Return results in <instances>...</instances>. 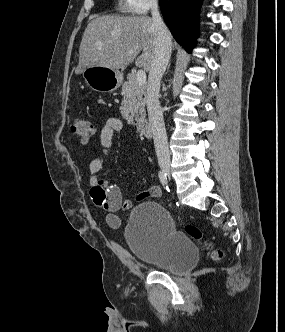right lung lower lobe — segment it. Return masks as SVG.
<instances>
[{"mask_svg": "<svg viewBox=\"0 0 285 332\" xmlns=\"http://www.w3.org/2000/svg\"><path fill=\"white\" fill-rule=\"evenodd\" d=\"M202 0H160L164 20L176 41L191 52L198 36V11Z\"/></svg>", "mask_w": 285, "mask_h": 332, "instance_id": "98d812e1", "label": "right lung lower lobe"}]
</instances>
